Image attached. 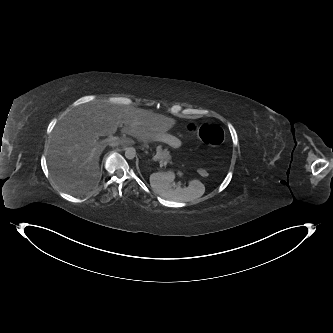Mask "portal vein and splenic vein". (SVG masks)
<instances>
[{
	"mask_svg": "<svg viewBox=\"0 0 333 333\" xmlns=\"http://www.w3.org/2000/svg\"><path fill=\"white\" fill-rule=\"evenodd\" d=\"M115 139H117V137H114V136H110V138L108 139L109 141H113V140H115ZM167 163L166 162H160V166L162 167V166H165Z\"/></svg>",
	"mask_w": 333,
	"mask_h": 333,
	"instance_id": "obj_1",
	"label": "portal vein and splenic vein"
}]
</instances>
